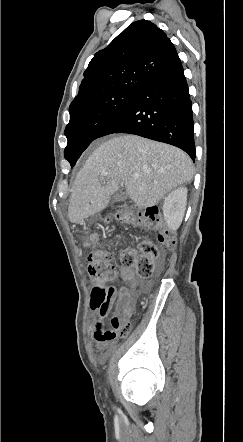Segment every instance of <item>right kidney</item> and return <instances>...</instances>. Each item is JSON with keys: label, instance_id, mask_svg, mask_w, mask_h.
<instances>
[{"label": "right kidney", "instance_id": "ca27d5eb", "mask_svg": "<svg viewBox=\"0 0 243 442\" xmlns=\"http://www.w3.org/2000/svg\"><path fill=\"white\" fill-rule=\"evenodd\" d=\"M187 203V188L180 187L165 197L163 216L167 225L176 230L184 217Z\"/></svg>", "mask_w": 243, "mask_h": 442}]
</instances>
